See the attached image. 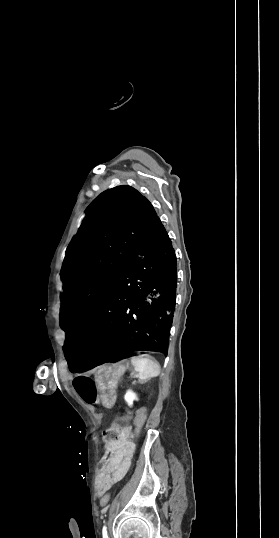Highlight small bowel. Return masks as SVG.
Segmentation results:
<instances>
[{
  "label": "small bowel",
  "instance_id": "1",
  "mask_svg": "<svg viewBox=\"0 0 279 538\" xmlns=\"http://www.w3.org/2000/svg\"><path fill=\"white\" fill-rule=\"evenodd\" d=\"M74 389L87 404L94 405L97 403V393L93 380L90 378L83 376L77 377L74 380ZM134 450L133 430L131 427H125L122 429L119 439L108 447L110 459L107 474L102 480L96 483L100 494L109 491L115 483L119 482L125 476L130 467Z\"/></svg>",
  "mask_w": 279,
  "mask_h": 538
}]
</instances>
